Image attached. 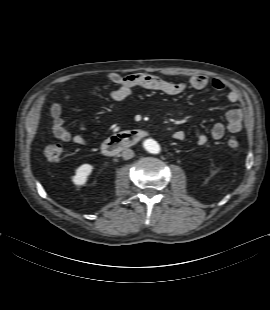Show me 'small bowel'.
<instances>
[{
  "label": "small bowel",
  "instance_id": "obj_1",
  "mask_svg": "<svg viewBox=\"0 0 270 310\" xmlns=\"http://www.w3.org/2000/svg\"><path fill=\"white\" fill-rule=\"evenodd\" d=\"M106 79L115 85L114 90L111 92V98L116 102H122L127 99L135 88L155 90L167 95H179L187 88L186 83L167 81L147 73L121 75L112 72L106 75ZM189 85L196 90H202L209 85L216 91H223L227 88L222 80H210L205 75L193 76L189 81ZM69 98V96H66L65 100L68 101ZM227 99L231 103H238L241 99L240 93L235 89H229L227 92ZM62 114V104L59 102L54 103L51 106V116L53 118L52 131L54 136L62 142H73L80 146L88 145V141L85 137L80 134H73L66 129ZM244 116V111L239 108L228 110L226 113L227 124H214L211 128V137L215 140H219L224 136L226 131H229L230 133L240 132L242 130ZM77 125L80 129L85 128V122L83 120H78ZM173 138L177 141H182L186 138L185 132L177 130L173 133ZM207 141L208 136L206 134H200L197 137V143L199 145H204Z\"/></svg>",
  "mask_w": 270,
  "mask_h": 310
}]
</instances>
